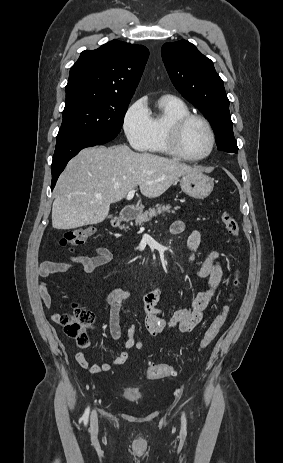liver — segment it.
<instances>
[{"label": "liver", "instance_id": "obj_1", "mask_svg": "<svg viewBox=\"0 0 283 463\" xmlns=\"http://www.w3.org/2000/svg\"><path fill=\"white\" fill-rule=\"evenodd\" d=\"M200 171L179 161L136 153L127 145L85 148L71 159L55 187L52 226L69 230L105 220L110 204L139 186L156 198L181 176Z\"/></svg>", "mask_w": 283, "mask_h": 463}]
</instances>
